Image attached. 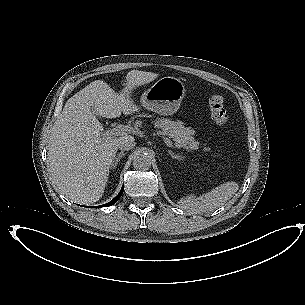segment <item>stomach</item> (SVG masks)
<instances>
[{
	"label": "stomach",
	"instance_id": "stomach-1",
	"mask_svg": "<svg viewBox=\"0 0 305 305\" xmlns=\"http://www.w3.org/2000/svg\"><path fill=\"white\" fill-rule=\"evenodd\" d=\"M186 92V87L180 79L164 76L142 94L141 102L149 110L161 115H172L178 111Z\"/></svg>",
	"mask_w": 305,
	"mask_h": 305
}]
</instances>
